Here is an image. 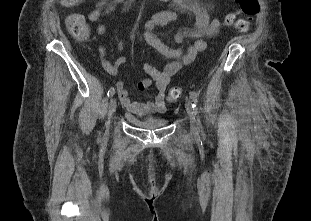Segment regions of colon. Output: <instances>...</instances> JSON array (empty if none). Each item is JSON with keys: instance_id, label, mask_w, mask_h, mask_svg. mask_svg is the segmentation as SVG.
<instances>
[{"instance_id": "5ec220e1", "label": "colon", "mask_w": 311, "mask_h": 221, "mask_svg": "<svg viewBox=\"0 0 311 221\" xmlns=\"http://www.w3.org/2000/svg\"><path fill=\"white\" fill-rule=\"evenodd\" d=\"M81 0H67L61 1V8H73L74 4H79ZM238 3L244 14L243 20L239 21V26L236 27L238 31H245L249 25L250 18L260 11L259 0H238ZM236 18L235 13H231L226 17V22L232 24V18ZM67 31L78 41L84 42L89 37L90 27L85 17L80 13L69 14L65 19ZM182 95L181 87H171L166 94L165 100L167 102H175Z\"/></svg>"}]
</instances>
